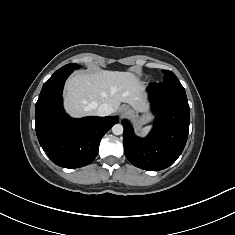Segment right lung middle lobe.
<instances>
[{
    "instance_id": "1",
    "label": "right lung middle lobe",
    "mask_w": 235,
    "mask_h": 235,
    "mask_svg": "<svg viewBox=\"0 0 235 235\" xmlns=\"http://www.w3.org/2000/svg\"><path fill=\"white\" fill-rule=\"evenodd\" d=\"M79 68V65L73 63V64H67L63 67H61L59 70H57L56 72H60V71H66V70H74V69H77Z\"/></svg>"
}]
</instances>
